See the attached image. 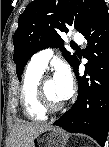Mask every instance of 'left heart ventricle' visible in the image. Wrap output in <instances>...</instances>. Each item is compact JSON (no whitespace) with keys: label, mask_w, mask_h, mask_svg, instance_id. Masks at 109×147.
<instances>
[{"label":"left heart ventricle","mask_w":109,"mask_h":147,"mask_svg":"<svg viewBox=\"0 0 109 147\" xmlns=\"http://www.w3.org/2000/svg\"><path fill=\"white\" fill-rule=\"evenodd\" d=\"M44 90L51 103L58 104L62 102V98L59 95L58 87L54 79L50 78L46 80Z\"/></svg>","instance_id":"obj_1"}]
</instances>
